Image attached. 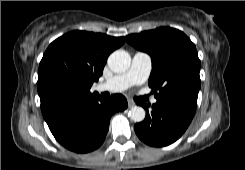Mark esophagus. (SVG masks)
I'll return each mask as SVG.
<instances>
[{
  "label": "esophagus",
  "instance_id": "1",
  "mask_svg": "<svg viewBox=\"0 0 245 170\" xmlns=\"http://www.w3.org/2000/svg\"><path fill=\"white\" fill-rule=\"evenodd\" d=\"M127 102H128V107H133V106H135V103H134L133 101L128 100Z\"/></svg>",
  "mask_w": 245,
  "mask_h": 170
}]
</instances>
